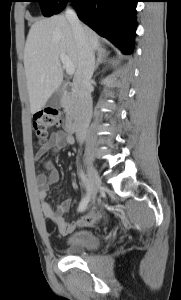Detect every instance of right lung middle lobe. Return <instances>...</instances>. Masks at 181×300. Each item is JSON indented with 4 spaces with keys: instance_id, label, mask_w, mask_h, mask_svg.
<instances>
[{
    "instance_id": "right-lung-middle-lobe-1",
    "label": "right lung middle lobe",
    "mask_w": 181,
    "mask_h": 300,
    "mask_svg": "<svg viewBox=\"0 0 181 300\" xmlns=\"http://www.w3.org/2000/svg\"><path fill=\"white\" fill-rule=\"evenodd\" d=\"M38 2L44 16L49 17L56 14L63 6L66 5V0H29Z\"/></svg>"
}]
</instances>
